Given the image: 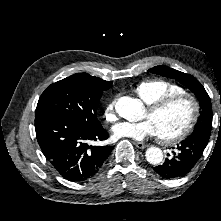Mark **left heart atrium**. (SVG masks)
Wrapping results in <instances>:
<instances>
[{"mask_svg":"<svg viewBox=\"0 0 221 221\" xmlns=\"http://www.w3.org/2000/svg\"><path fill=\"white\" fill-rule=\"evenodd\" d=\"M113 134L118 138H131L143 140L148 136L157 135V129L152 120L146 119L140 122H119L112 128Z\"/></svg>","mask_w":221,"mask_h":221,"instance_id":"left-heart-atrium-1","label":"left heart atrium"}]
</instances>
